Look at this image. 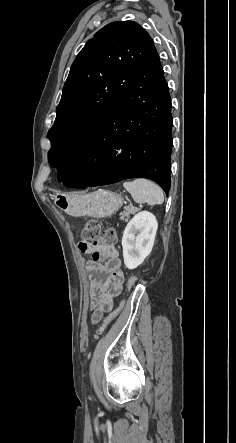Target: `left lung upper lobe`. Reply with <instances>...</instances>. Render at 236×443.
<instances>
[{
	"label": "left lung upper lobe",
	"mask_w": 236,
	"mask_h": 443,
	"mask_svg": "<svg viewBox=\"0 0 236 443\" xmlns=\"http://www.w3.org/2000/svg\"><path fill=\"white\" fill-rule=\"evenodd\" d=\"M155 50L149 34L133 21L110 23L87 41L71 66L47 135L51 166L60 171L73 160Z\"/></svg>",
	"instance_id": "obj_1"
}]
</instances>
